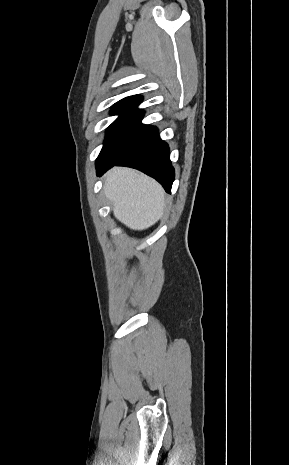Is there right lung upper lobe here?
I'll list each match as a JSON object with an SVG mask.
<instances>
[{
	"label": "right lung upper lobe",
	"mask_w": 289,
	"mask_h": 465,
	"mask_svg": "<svg viewBox=\"0 0 289 465\" xmlns=\"http://www.w3.org/2000/svg\"><path fill=\"white\" fill-rule=\"evenodd\" d=\"M142 100H143V98H142L141 95H133V96H129V97H126V98L118 101L112 107L122 106V105H135V104L138 105L139 103L142 102Z\"/></svg>",
	"instance_id": "1"
}]
</instances>
